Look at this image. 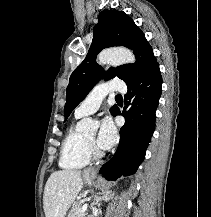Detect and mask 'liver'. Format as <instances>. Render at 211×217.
Masks as SVG:
<instances>
[{
	"label": "liver",
	"mask_w": 211,
	"mask_h": 217,
	"mask_svg": "<svg viewBox=\"0 0 211 217\" xmlns=\"http://www.w3.org/2000/svg\"><path fill=\"white\" fill-rule=\"evenodd\" d=\"M81 172L60 170L48 178L43 195V208L46 217H65L69 207L81 191Z\"/></svg>",
	"instance_id": "obj_1"
}]
</instances>
